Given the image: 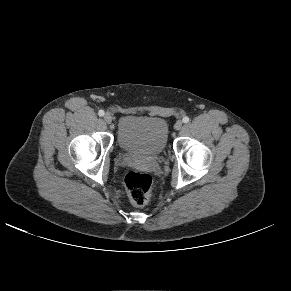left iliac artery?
<instances>
[{
	"label": "left iliac artery",
	"mask_w": 291,
	"mask_h": 291,
	"mask_svg": "<svg viewBox=\"0 0 291 291\" xmlns=\"http://www.w3.org/2000/svg\"><path fill=\"white\" fill-rule=\"evenodd\" d=\"M189 120H190V119H189V117H187V116H185V117L183 118V122H184V123H188Z\"/></svg>",
	"instance_id": "1"
}]
</instances>
